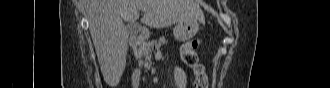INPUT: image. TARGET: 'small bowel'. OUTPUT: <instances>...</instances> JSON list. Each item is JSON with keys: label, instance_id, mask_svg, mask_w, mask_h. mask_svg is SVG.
I'll return each mask as SVG.
<instances>
[{"label": "small bowel", "instance_id": "obj_1", "mask_svg": "<svg viewBox=\"0 0 330 88\" xmlns=\"http://www.w3.org/2000/svg\"><path fill=\"white\" fill-rule=\"evenodd\" d=\"M173 77L176 88H186L187 87V77L184 70L178 66L173 69Z\"/></svg>", "mask_w": 330, "mask_h": 88}]
</instances>
